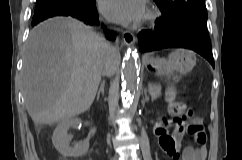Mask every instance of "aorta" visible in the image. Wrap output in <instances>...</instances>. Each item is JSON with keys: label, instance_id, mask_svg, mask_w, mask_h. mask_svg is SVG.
<instances>
[{"label": "aorta", "instance_id": "762f6f07", "mask_svg": "<svg viewBox=\"0 0 242 160\" xmlns=\"http://www.w3.org/2000/svg\"><path fill=\"white\" fill-rule=\"evenodd\" d=\"M140 65L138 54L133 50H128L125 56L122 70V80L131 95H134L139 83Z\"/></svg>", "mask_w": 242, "mask_h": 160}]
</instances>
